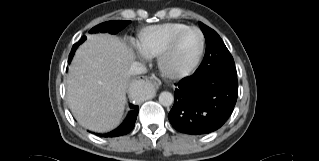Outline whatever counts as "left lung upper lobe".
I'll return each instance as SVG.
<instances>
[{
	"instance_id": "1",
	"label": "left lung upper lobe",
	"mask_w": 319,
	"mask_h": 161,
	"mask_svg": "<svg viewBox=\"0 0 319 161\" xmlns=\"http://www.w3.org/2000/svg\"><path fill=\"white\" fill-rule=\"evenodd\" d=\"M199 26L206 39V53L194 74L225 72L237 75L233 57L217 32L201 22Z\"/></svg>"
}]
</instances>
